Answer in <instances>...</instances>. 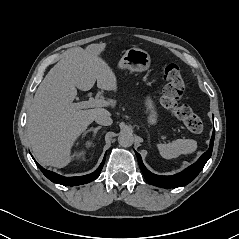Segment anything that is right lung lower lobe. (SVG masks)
<instances>
[{
	"instance_id": "1",
	"label": "right lung lower lobe",
	"mask_w": 239,
	"mask_h": 239,
	"mask_svg": "<svg viewBox=\"0 0 239 239\" xmlns=\"http://www.w3.org/2000/svg\"><path fill=\"white\" fill-rule=\"evenodd\" d=\"M104 162H105V157L95 172L85 175V176H79V177H64L55 172L44 169L37 162H36V164L40 168V170L43 172V174L48 179H50L52 182L58 183L61 185L75 186V185L86 184V183H89V182L95 180L99 176V174L102 170V167L104 165Z\"/></svg>"
}]
</instances>
